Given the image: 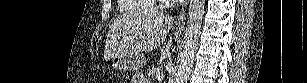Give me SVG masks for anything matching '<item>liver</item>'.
I'll use <instances>...</instances> for the list:
<instances>
[{"label": "liver", "mask_w": 307, "mask_h": 83, "mask_svg": "<svg viewBox=\"0 0 307 83\" xmlns=\"http://www.w3.org/2000/svg\"><path fill=\"white\" fill-rule=\"evenodd\" d=\"M174 18L157 11L125 14L110 26L104 49L105 60L117 55L137 54L159 48Z\"/></svg>", "instance_id": "obj_1"}]
</instances>
